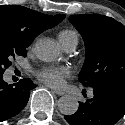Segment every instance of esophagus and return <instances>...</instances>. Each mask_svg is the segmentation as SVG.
Here are the masks:
<instances>
[{
    "label": "esophagus",
    "mask_w": 125,
    "mask_h": 125,
    "mask_svg": "<svg viewBox=\"0 0 125 125\" xmlns=\"http://www.w3.org/2000/svg\"><path fill=\"white\" fill-rule=\"evenodd\" d=\"M52 91L59 96L64 95V92L62 90L52 89Z\"/></svg>",
    "instance_id": "34e87169"
}]
</instances>
